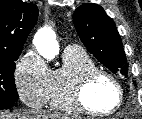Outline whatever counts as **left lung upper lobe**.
<instances>
[{
	"label": "left lung upper lobe",
	"instance_id": "5c2ea615",
	"mask_svg": "<svg viewBox=\"0 0 142 119\" xmlns=\"http://www.w3.org/2000/svg\"><path fill=\"white\" fill-rule=\"evenodd\" d=\"M76 31L85 47L113 73L127 76L128 64L114 21L97 4L78 7L73 14Z\"/></svg>",
	"mask_w": 142,
	"mask_h": 119
}]
</instances>
